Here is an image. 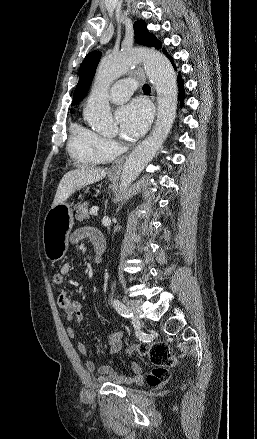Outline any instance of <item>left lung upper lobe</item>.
Returning <instances> with one entry per match:
<instances>
[{"instance_id":"5c2ea615","label":"left lung upper lobe","mask_w":257,"mask_h":439,"mask_svg":"<svg viewBox=\"0 0 257 439\" xmlns=\"http://www.w3.org/2000/svg\"><path fill=\"white\" fill-rule=\"evenodd\" d=\"M135 41L148 47L161 48V43L146 29V23L138 20L134 23ZM164 50V49H163ZM101 53L98 51L90 52L83 60L79 70V82L73 94L72 105L81 101L88 92L94 77Z\"/></svg>"}]
</instances>
